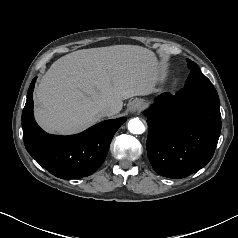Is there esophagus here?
<instances>
[{
	"instance_id": "obj_1",
	"label": "esophagus",
	"mask_w": 238,
	"mask_h": 238,
	"mask_svg": "<svg viewBox=\"0 0 238 238\" xmlns=\"http://www.w3.org/2000/svg\"><path fill=\"white\" fill-rule=\"evenodd\" d=\"M141 109H142V105L140 103H136L132 106L131 112L132 113H138V112L141 111Z\"/></svg>"
}]
</instances>
